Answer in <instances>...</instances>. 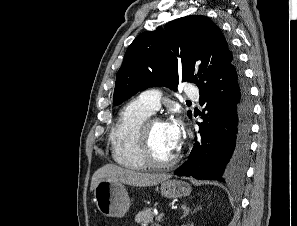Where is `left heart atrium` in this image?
<instances>
[{
    "label": "left heart atrium",
    "mask_w": 297,
    "mask_h": 226,
    "mask_svg": "<svg viewBox=\"0 0 297 226\" xmlns=\"http://www.w3.org/2000/svg\"><path fill=\"white\" fill-rule=\"evenodd\" d=\"M167 127L168 138L171 145L176 149L180 146L183 138V127L179 120L174 119L165 123Z\"/></svg>",
    "instance_id": "1"
}]
</instances>
